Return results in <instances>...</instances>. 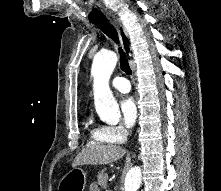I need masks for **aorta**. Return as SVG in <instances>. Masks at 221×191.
I'll return each mask as SVG.
<instances>
[{
  "mask_svg": "<svg viewBox=\"0 0 221 191\" xmlns=\"http://www.w3.org/2000/svg\"><path fill=\"white\" fill-rule=\"evenodd\" d=\"M116 63L117 55L115 52H100L95 55L91 69L96 111L101 120L110 124L117 123L121 117L119 106L109 87V79ZM141 182V168L139 166L132 167L127 172L124 191H138Z\"/></svg>",
  "mask_w": 221,
  "mask_h": 191,
  "instance_id": "obj_1",
  "label": "aorta"
}]
</instances>
